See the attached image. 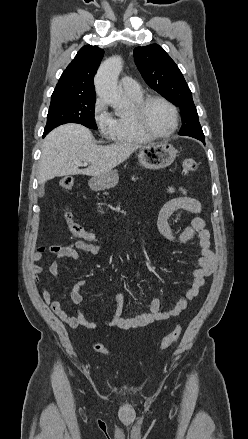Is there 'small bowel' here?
<instances>
[{"label": "small bowel", "instance_id": "c3829d8e", "mask_svg": "<svg viewBox=\"0 0 248 439\" xmlns=\"http://www.w3.org/2000/svg\"><path fill=\"white\" fill-rule=\"evenodd\" d=\"M169 194L178 193L179 196L168 200L160 209L157 217V227L160 234L168 241L177 243H188L195 238L198 240L199 257L197 259V267L192 273L191 287L179 298L175 306L168 310H161V302L158 298H154L148 309L136 316L126 317L123 314L124 297L118 293L115 297V307L113 315L110 319L104 322L103 325H98L85 317V315L77 311L75 315L68 314L58 300L52 299L50 291L45 288L42 294L45 304L55 313V315L67 326L77 328L82 326L88 329H98L101 327H117L120 329L140 328L151 325L158 321H164L178 316L188 308L190 303L199 294L201 287L205 283V278L210 276L216 266V259L211 250L210 232L206 229L205 221L202 217L196 216L191 223L179 232H175L170 223V217L177 211L184 210L193 214H200L202 206L199 200L189 195L187 189L183 186H170L167 188ZM49 252L55 256L53 262L48 267L49 274L58 278L60 275L59 261L61 259H71L78 261L80 259L79 251H83L92 255H101L102 248L98 245L88 243L84 240H77L68 244L52 245L48 248ZM45 248H38L32 255V260L35 262L41 261L44 257ZM45 269L40 265H34L32 268V275L35 283L39 284V275ZM139 272L134 273V279L137 278ZM86 284L84 279L77 280L71 291L70 299L78 306L84 302V297L81 294V288Z\"/></svg>", "mask_w": 248, "mask_h": 439}]
</instances>
